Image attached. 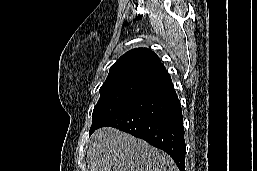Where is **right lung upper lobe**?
<instances>
[{
    "mask_svg": "<svg viewBox=\"0 0 257 171\" xmlns=\"http://www.w3.org/2000/svg\"><path fill=\"white\" fill-rule=\"evenodd\" d=\"M167 78L170 75L153 51L135 48L126 52L111 66L102 87L146 86L149 89Z\"/></svg>",
    "mask_w": 257,
    "mask_h": 171,
    "instance_id": "right-lung-upper-lobe-1",
    "label": "right lung upper lobe"
}]
</instances>
